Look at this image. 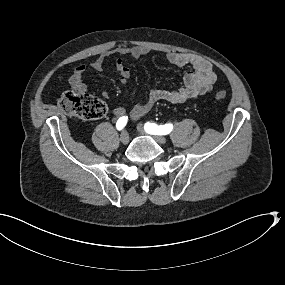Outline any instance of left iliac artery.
I'll list each match as a JSON object with an SVG mask.
<instances>
[{"label":"left iliac artery","instance_id":"44dca946","mask_svg":"<svg viewBox=\"0 0 285 285\" xmlns=\"http://www.w3.org/2000/svg\"><path fill=\"white\" fill-rule=\"evenodd\" d=\"M144 129L147 133L152 135H167L172 131L173 125L172 124L157 125L155 123L147 122L145 123Z\"/></svg>","mask_w":285,"mask_h":285}]
</instances>
